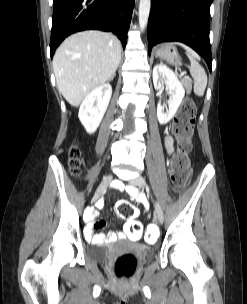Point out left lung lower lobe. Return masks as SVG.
I'll return each instance as SVG.
<instances>
[{"label": "left lung lower lobe", "instance_id": "left-lung-lower-lobe-1", "mask_svg": "<svg viewBox=\"0 0 247 304\" xmlns=\"http://www.w3.org/2000/svg\"><path fill=\"white\" fill-rule=\"evenodd\" d=\"M213 0H152L148 20L149 54L160 42L178 41L193 48L212 70L209 40Z\"/></svg>", "mask_w": 247, "mask_h": 304}]
</instances>
